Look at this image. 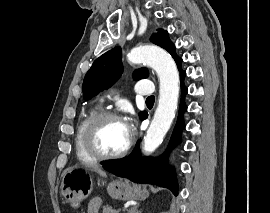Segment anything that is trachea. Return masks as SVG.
Wrapping results in <instances>:
<instances>
[{
	"label": "trachea",
	"mask_w": 270,
	"mask_h": 213,
	"mask_svg": "<svg viewBox=\"0 0 270 213\" xmlns=\"http://www.w3.org/2000/svg\"><path fill=\"white\" fill-rule=\"evenodd\" d=\"M155 97L154 96H150L146 99V102H154Z\"/></svg>",
	"instance_id": "3493384b"
}]
</instances>
